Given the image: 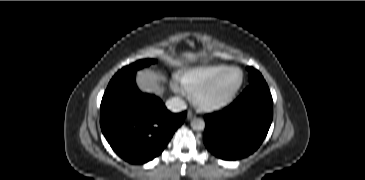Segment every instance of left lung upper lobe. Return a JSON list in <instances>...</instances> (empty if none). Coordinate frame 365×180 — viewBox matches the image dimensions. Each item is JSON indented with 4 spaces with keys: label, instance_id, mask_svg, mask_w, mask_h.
<instances>
[{
    "label": "left lung upper lobe",
    "instance_id": "1",
    "mask_svg": "<svg viewBox=\"0 0 365 180\" xmlns=\"http://www.w3.org/2000/svg\"><path fill=\"white\" fill-rule=\"evenodd\" d=\"M247 70L249 72V82L250 84L251 83H254V82H257V81H260V80H264L261 73L254 69L253 67H247Z\"/></svg>",
    "mask_w": 365,
    "mask_h": 180
}]
</instances>
